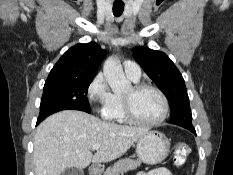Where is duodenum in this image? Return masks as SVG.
<instances>
[{
  "label": "duodenum",
  "instance_id": "obj_1",
  "mask_svg": "<svg viewBox=\"0 0 233 175\" xmlns=\"http://www.w3.org/2000/svg\"><path fill=\"white\" fill-rule=\"evenodd\" d=\"M90 172H91V175H98L99 174V170L96 167H92Z\"/></svg>",
  "mask_w": 233,
  "mask_h": 175
}]
</instances>
